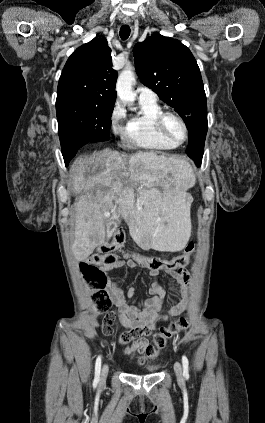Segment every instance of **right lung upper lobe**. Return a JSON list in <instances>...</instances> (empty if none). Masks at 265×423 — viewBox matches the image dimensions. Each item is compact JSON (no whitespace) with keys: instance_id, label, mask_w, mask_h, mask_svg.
<instances>
[{"instance_id":"1","label":"right lung upper lobe","mask_w":265,"mask_h":423,"mask_svg":"<svg viewBox=\"0 0 265 423\" xmlns=\"http://www.w3.org/2000/svg\"><path fill=\"white\" fill-rule=\"evenodd\" d=\"M117 72L105 39H93L68 58L59 79L57 100H80L114 107Z\"/></svg>"}]
</instances>
